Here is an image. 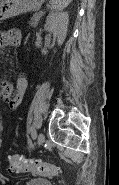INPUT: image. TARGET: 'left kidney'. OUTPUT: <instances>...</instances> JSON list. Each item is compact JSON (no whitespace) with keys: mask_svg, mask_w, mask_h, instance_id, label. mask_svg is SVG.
Returning <instances> with one entry per match:
<instances>
[{"mask_svg":"<svg viewBox=\"0 0 119 185\" xmlns=\"http://www.w3.org/2000/svg\"><path fill=\"white\" fill-rule=\"evenodd\" d=\"M68 22V12H51L46 18L44 29L57 37L58 45H62L65 41ZM42 54L46 55L47 51L42 50Z\"/></svg>","mask_w":119,"mask_h":185,"instance_id":"left-kidney-1","label":"left kidney"}]
</instances>
